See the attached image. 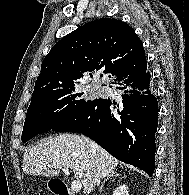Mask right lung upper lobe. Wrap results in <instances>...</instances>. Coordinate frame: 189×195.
<instances>
[{
    "label": "right lung upper lobe",
    "instance_id": "obj_1",
    "mask_svg": "<svg viewBox=\"0 0 189 195\" xmlns=\"http://www.w3.org/2000/svg\"><path fill=\"white\" fill-rule=\"evenodd\" d=\"M147 65L141 40L127 23L104 18L89 22L63 37L46 55L32 101L78 86L92 71L103 69L113 79Z\"/></svg>",
    "mask_w": 189,
    "mask_h": 195
}]
</instances>
